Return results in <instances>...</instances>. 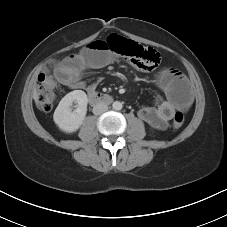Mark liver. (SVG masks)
Returning <instances> with one entry per match:
<instances>
[{
	"label": "liver",
	"mask_w": 227,
	"mask_h": 227,
	"mask_svg": "<svg viewBox=\"0 0 227 227\" xmlns=\"http://www.w3.org/2000/svg\"><path fill=\"white\" fill-rule=\"evenodd\" d=\"M33 98H34L36 103L39 102V94H38L36 89H34V91H33Z\"/></svg>",
	"instance_id": "liver-1"
}]
</instances>
